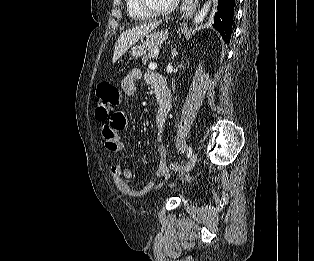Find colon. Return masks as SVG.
Returning a JSON list of instances; mask_svg holds the SVG:
<instances>
[{
	"label": "colon",
	"mask_w": 314,
	"mask_h": 261,
	"mask_svg": "<svg viewBox=\"0 0 314 261\" xmlns=\"http://www.w3.org/2000/svg\"><path fill=\"white\" fill-rule=\"evenodd\" d=\"M96 100V117L99 121L104 122L118 108L121 102V93L115 85L102 82L97 86ZM169 168L174 173H180L182 166L177 162H172Z\"/></svg>",
	"instance_id": "1"
}]
</instances>
